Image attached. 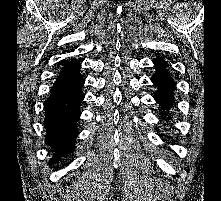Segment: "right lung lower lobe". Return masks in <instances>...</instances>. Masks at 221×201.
<instances>
[{
    "instance_id": "right-lung-lower-lobe-1",
    "label": "right lung lower lobe",
    "mask_w": 221,
    "mask_h": 201,
    "mask_svg": "<svg viewBox=\"0 0 221 201\" xmlns=\"http://www.w3.org/2000/svg\"><path fill=\"white\" fill-rule=\"evenodd\" d=\"M80 67L77 61H66L44 104L45 143L55 152L50 165L61 156L73 152L79 133L76 122L81 116L79 104L84 99L82 86L85 82L79 73Z\"/></svg>"
}]
</instances>
